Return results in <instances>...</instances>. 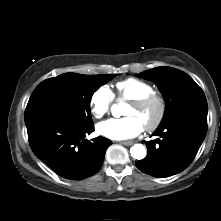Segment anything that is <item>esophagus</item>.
<instances>
[{
    "label": "esophagus",
    "instance_id": "1",
    "mask_svg": "<svg viewBox=\"0 0 221 221\" xmlns=\"http://www.w3.org/2000/svg\"><path fill=\"white\" fill-rule=\"evenodd\" d=\"M120 143H121L122 145H125V146H131V145L134 144L133 141H121Z\"/></svg>",
    "mask_w": 221,
    "mask_h": 221
}]
</instances>
